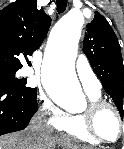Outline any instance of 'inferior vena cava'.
Instances as JSON below:
<instances>
[{"label": "inferior vena cava", "instance_id": "obj_1", "mask_svg": "<svg viewBox=\"0 0 124 149\" xmlns=\"http://www.w3.org/2000/svg\"><path fill=\"white\" fill-rule=\"evenodd\" d=\"M30 133H38L41 132L43 130H45V128L42 125V119H41V115L37 114L31 121L28 129Z\"/></svg>", "mask_w": 124, "mask_h": 149}]
</instances>
